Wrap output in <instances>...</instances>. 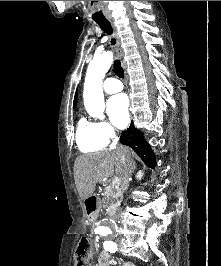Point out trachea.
Listing matches in <instances>:
<instances>
[{
    "label": "trachea",
    "instance_id": "trachea-1",
    "mask_svg": "<svg viewBox=\"0 0 221 266\" xmlns=\"http://www.w3.org/2000/svg\"><path fill=\"white\" fill-rule=\"evenodd\" d=\"M96 23L100 26V28L108 35H112L113 31H112V27L110 25V22L108 20H100V21H96ZM116 41L115 39H111V44L115 45ZM114 73L120 77L123 78L124 77V70L121 66V62L119 59H116L114 61Z\"/></svg>",
    "mask_w": 221,
    "mask_h": 266
}]
</instances>
